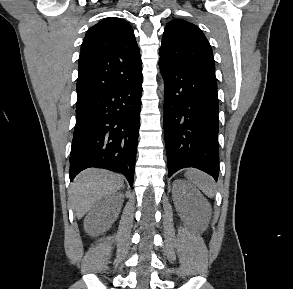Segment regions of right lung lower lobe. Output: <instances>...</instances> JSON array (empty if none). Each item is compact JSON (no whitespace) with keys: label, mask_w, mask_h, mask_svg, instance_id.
I'll return each instance as SVG.
<instances>
[{"label":"right lung lower lobe","mask_w":293,"mask_h":289,"mask_svg":"<svg viewBox=\"0 0 293 289\" xmlns=\"http://www.w3.org/2000/svg\"><path fill=\"white\" fill-rule=\"evenodd\" d=\"M142 76L76 106L70 181L89 167L122 173L133 184L140 126Z\"/></svg>","instance_id":"1"}]
</instances>
